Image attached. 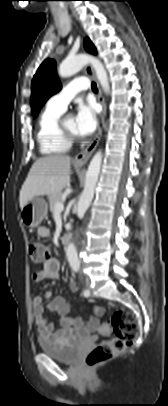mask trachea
<instances>
[{
  "label": "trachea",
  "instance_id": "3493384b",
  "mask_svg": "<svg viewBox=\"0 0 168 406\" xmlns=\"http://www.w3.org/2000/svg\"><path fill=\"white\" fill-rule=\"evenodd\" d=\"M92 90H93L94 92H97V86H96V83H95V82H92Z\"/></svg>",
  "mask_w": 168,
  "mask_h": 406
}]
</instances>
